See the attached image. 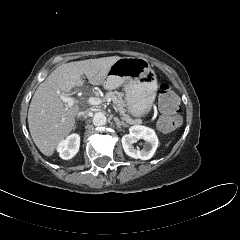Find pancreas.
I'll return each instance as SVG.
<instances>
[{
    "instance_id": "pancreas-1",
    "label": "pancreas",
    "mask_w": 240,
    "mask_h": 240,
    "mask_svg": "<svg viewBox=\"0 0 240 240\" xmlns=\"http://www.w3.org/2000/svg\"><path fill=\"white\" fill-rule=\"evenodd\" d=\"M124 94L118 91H111L105 94L103 97V101H107V99H111L112 102L116 105L122 119L125 120L129 124H138L140 123L139 119H133L128 114H126V104L123 100Z\"/></svg>"
}]
</instances>
